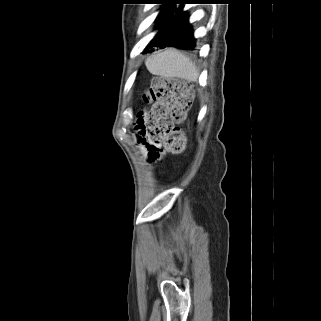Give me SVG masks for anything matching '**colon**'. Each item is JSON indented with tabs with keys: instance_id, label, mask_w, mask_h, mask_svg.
<instances>
[{
	"instance_id": "colon-1",
	"label": "colon",
	"mask_w": 321,
	"mask_h": 321,
	"mask_svg": "<svg viewBox=\"0 0 321 321\" xmlns=\"http://www.w3.org/2000/svg\"><path fill=\"white\" fill-rule=\"evenodd\" d=\"M145 100L154 102L147 117L154 143L151 157L158 159L163 151L180 154L186 148V137L179 127L193 101V86L189 81L155 77L145 93Z\"/></svg>"
}]
</instances>
